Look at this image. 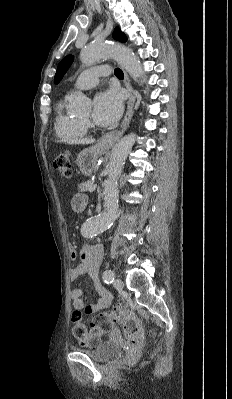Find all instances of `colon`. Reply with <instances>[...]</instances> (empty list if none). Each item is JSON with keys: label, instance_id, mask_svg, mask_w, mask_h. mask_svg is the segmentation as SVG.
<instances>
[{"label": "colon", "instance_id": "colon-1", "mask_svg": "<svg viewBox=\"0 0 232 399\" xmlns=\"http://www.w3.org/2000/svg\"><path fill=\"white\" fill-rule=\"evenodd\" d=\"M52 165L55 168H61L62 174H68V177H73V157H70V152L66 151L61 155H56V160H52ZM71 335L78 338L79 347H97V342L101 341V331L105 335L111 334L109 324H122L125 330V337H131L132 340H126V346H123V353H140L142 341L144 339V326L141 317L138 313H129L128 308H117L116 313H102L101 317H94L93 322H88V325L80 324L81 314H72ZM96 330V331H95Z\"/></svg>", "mask_w": 232, "mask_h": 399}]
</instances>
